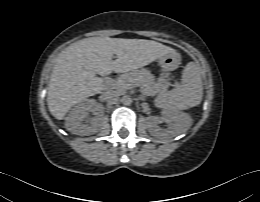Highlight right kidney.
Listing matches in <instances>:
<instances>
[{"label": "right kidney", "instance_id": "1", "mask_svg": "<svg viewBox=\"0 0 260 202\" xmlns=\"http://www.w3.org/2000/svg\"><path fill=\"white\" fill-rule=\"evenodd\" d=\"M89 113L94 115L88 118ZM104 108L93 99H86L77 104L66 117L65 127L72 134L88 136L95 134L101 127Z\"/></svg>", "mask_w": 260, "mask_h": 202}]
</instances>
